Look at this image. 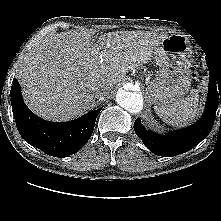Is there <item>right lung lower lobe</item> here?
<instances>
[{
    "mask_svg": "<svg viewBox=\"0 0 221 221\" xmlns=\"http://www.w3.org/2000/svg\"><path fill=\"white\" fill-rule=\"evenodd\" d=\"M11 104L20 135L32 146L54 157L74 154L91 137L102 108L70 122H49L34 115L25 105L19 82L13 80Z\"/></svg>",
    "mask_w": 221,
    "mask_h": 221,
    "instance_id": "right-lung-lower-lobe-1",
    "label": "right lung lower lobe"
}]
</instances>
